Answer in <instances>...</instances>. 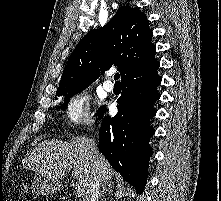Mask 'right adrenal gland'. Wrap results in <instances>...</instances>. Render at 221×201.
<instances>
[{
    "instance_id": "2a0ac1e0",
    "label": "right adrenal gland",
    "mask_w": 221,
    "mask_h": 201,
    "mask_svg": "<svg viewBox=\"0 0 221 201\" xmlns=\"http://www.w3.org/2000/svg\"><path fill=\"white\" fill-rule=\"evenodd\" d=\"M104 193H108L110 195H113L112 185H110V184H104L103 185L102 190H101L100 195H99L100 199H101V197L103 196Z\"/></svg>"
}]
</instances>
